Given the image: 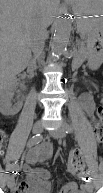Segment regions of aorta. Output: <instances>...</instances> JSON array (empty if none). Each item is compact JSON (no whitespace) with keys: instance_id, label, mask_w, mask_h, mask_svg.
I'll return each mask as SVG.
<instances>
[{"instance_id":"aorta-1","label":"aorta","mask_w":103,"mask_h":193,"mask_svg":"<svg viewBox=\"0 0 103 193\" xmlns=\"http://www.w3.org/2000/svg\"><path fill=\"white\" fill-rule=\"evenodd\" d=\"M71 33V19L68 16L66 9H62L60 16L58 17L52 41V58L55 60L62 55L67 47Z\"/></svg>"}]
</instances>
